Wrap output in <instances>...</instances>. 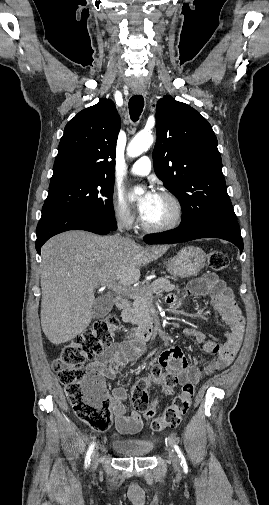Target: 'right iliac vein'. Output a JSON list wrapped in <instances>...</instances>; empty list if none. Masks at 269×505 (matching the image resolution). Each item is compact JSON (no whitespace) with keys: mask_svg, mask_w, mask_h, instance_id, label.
Returning <instances> with one entry per match:
<instances>
[{"mask_svg":"<svg viewBox=\"0 0 269 505\" xmlns=\"http://www.w3.org/2000/svg\"><path fill=\"white\" fill-rule=\"evenodd\" d=\"M98 461H99V454L98 452H94L92 456V468H96Z\"/></svg>","mask_w":269,"mask_h":505,"instance_id":"right-iliac-vein-1","label":"right iliac vein"}]
</instances>
